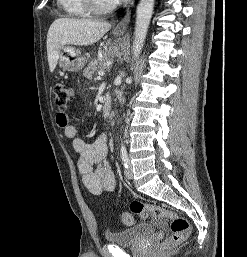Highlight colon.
Returning a JSON list of instances; mask_svg holds the SVG:
<instances>
[{"label":"colon","mask_w":247,"mask_h":257,"mask_svg":"<svg viewBox=\"0 0 247 257\" xmlns=\"http://www.w3.org/2000/svg\"><path fill=\"white\" fill-rule=\"evenodd\" d=\"M54 92L56 106L59 110L58 114L66 116L67 110L74 99V90L66 84H57ZM135 216L140 218L152 216L156 220L167 219L170 221L171 234L163 243V250H169L180 245L191 233L190 223L184 216L161 206L133 201L130 204V212L123 213L121 221L126 225H131L135 221Z\"/></svg>","instance_id":"obj_1"}]
</instances>
